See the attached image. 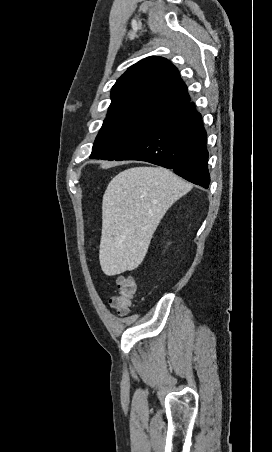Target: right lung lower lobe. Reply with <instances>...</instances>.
I'll return each instance as SVG.
<instances>
[{
    "label": "right lung lower lobe",
    "mask_w": 272,
    "mask_h": 452,
    "mask_svg": "<svg viewBox=\"0 0 272 452\" xmlns=\"http://www.w3.org/2000/svg\"><path fill=\"white\" fill-rule=\"evenodd\" d=\"M194 104L160 115L116 161L140 160L172 169L184 179L208 188L207 134Z\"/></svg>",
    "instance_id": "obj_1"
}]
</instances>
